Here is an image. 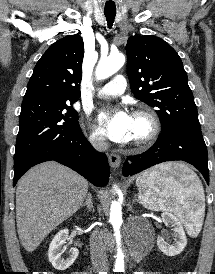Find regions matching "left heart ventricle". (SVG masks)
<instances>
[{"label":"left heart ventricle","mask_w":215,"mask_h":274,"mask_svg":"<svg viewBox=\"0 0 215 274\" xmlns=\"http://www.w3.org/2000/svg\"><path fill=\"white\" fill-rule=\"evenodd\" d=\"M147 130H148L147 122L142 118L133 116L130 140L142 137L143 135L146 134Z\"/></svg>","instance_id":"b2bd125f"}]
</instances>
